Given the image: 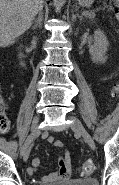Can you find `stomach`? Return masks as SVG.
Returning a JSON list of instances; mask_svg holds the SVG:
<instances>
[{"label":"stomach","mask_w":119,"mask_h":185,"mask_svg":"<svg viewBox=\"0 0 119 185\" xmlns=\"http://www.w3.org/2000/svg\"><path fill=\"white\" fill-rule=\"evenodd\" d=\"M77 1L83 7H89L94 2V0H77Z\"/></svg>","instance_id":"stomach-1"}]
</instances>
